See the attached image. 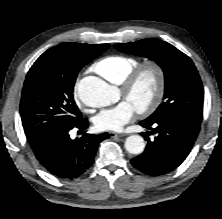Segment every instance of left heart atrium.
Segmentation results:
<instances>
[{
    "label": "left heart atrium",
    "instance_id": "left-heart-atrium-1",
    "mask_svg": "<svg viewBox=\"0 0 222 219\" xmlns=\"http://www.w3.org/2000/svg\"><path fill=\"white\" fill-rule=\"evenodd\" d=\"M134 113L135 108L128 101H122L97 114L94 118V125L101 131H120L132 120Z\"/></svg>",
    "mask_w": 222,
    "mask_h": 219
}]
</instances>
